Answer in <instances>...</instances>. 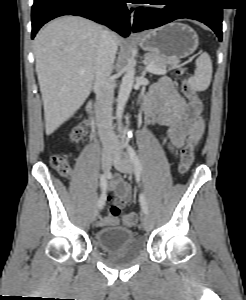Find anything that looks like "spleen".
Listing matches in <instances>:
<instances>
[{
  "label": "spleen",
  "instance_id": "spleen-1",
  "mask_svg": "<svg viewBox=\"0 0 246 300\" xmlns=\"http://www.w3.org/2000/svg\"><path fill=\"white\" fill-rule=\"evenodd\" d=\"M195 64V74L189 78V85L195 91H205L209 87L212 78V61L208 53H202L196 59Z\"/></svg>",
  "mask_w": 246,
  "mask_h": 300
}]
</instances>
